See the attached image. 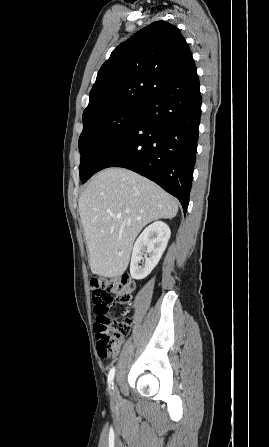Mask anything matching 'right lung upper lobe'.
<instances>
[{
    "label": "right lung upper lobe",
    "mask_w": 269,
    "mask_h": 447,
    "mask_svg": "<svg viewBox=\"0 0 269 447\" xmlns=\"http://www.w3.org/2000/svg\"><path fill=\"white\" fill-rule=\"evenodd\" d=\"M193 63L189 45L177 27L165 21L148 25L116 47L102 65L83 122L143 103L180 78Z\"/></svg>",
    "instance_id": "right-lung-upper-lobe-1"
}]
</instances>
